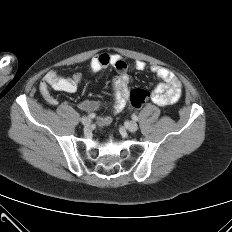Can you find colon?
<instances>
[{"mask_svg": "<svg viewBox=\"0 0 232 232\" xmlns=\"http://www.w3.org/2000/svg\"><path fill=\"white\" fill-rule=\"evenodd\" d=\"M149 97H150V93L147 90L142 89V88L133 89L130 92L131 104L127 110L129 111L131 107H134V108L142 107L147 102ZM127 110L125 111L126 113L128 112Z\"/></svg>", "mask_w": 232, "mask_h": 232, "instance_id": "5ec220e1", "label": "colon"}]
</instances>
